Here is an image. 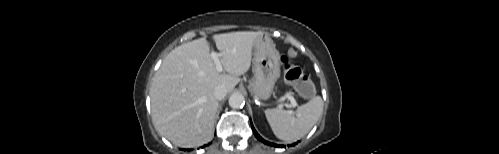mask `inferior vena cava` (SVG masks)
Wrapping results in <instances>:
<instances>
[{
  "instance_id": "602c4592",
  "label": "inferior vena cava",
  "mask_w": 499,
  "mask_h": 154,
  "mask_svg": "<svg viewBox=\"0 0 499 154\" xmlns=\"http://www.w3.org/2000/svg\"><path fill=\"white\" fill-rule=\"evenodd\" d=\"M228 90L226 88V86L224 85H217L215 88H214V97L217 99V100H221L223 99L226 94H227Z\"/></svg>"
}]
</instances>
